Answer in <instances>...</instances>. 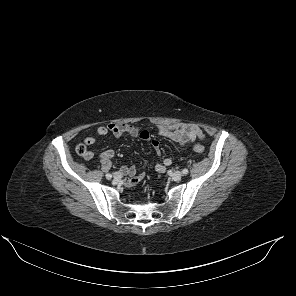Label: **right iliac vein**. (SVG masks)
Returning a JSON list of instances; mask_svg holds the SVG:
<instances>
[{"label":"right iliac vein","instance_id":"1","mask_svg":"<svg viewBox=\"0 0 296 296\" xmlns=\"http://www.w3.org/2000/svg\"><path fill=\"white\" fill-rule=\"evenodd\" d=\"M121 177H122V176H121V174H120L119 172H116V173L114 174V178L117 179V180H118V179H121Z\"/></svg>","mask_w":296,"mask_h":296}]
</instances>
